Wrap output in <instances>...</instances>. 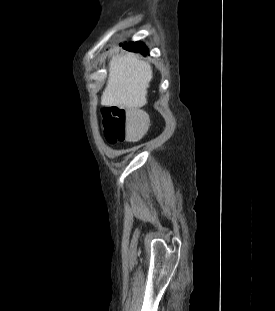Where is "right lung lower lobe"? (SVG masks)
Returning a JSON list of instances; mask_svg holds the SVG:
<instances>
[{"label": "right lung lower lobe", "instance_id": "1", "mask_svg": "<svg viewBox=\"0 0 275 311\" xmlns=\"http://www.w3.org/2000/svg\"><path fill=\"white\" fill-rule=\"evenodd\" d=\"M123 48L133 52H140L144 56L149 55L148 48L141 42H130L124 44Z\"/></svg>", "mask_w": 275, "mask_h": 311}]
</instances>
